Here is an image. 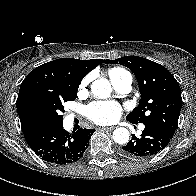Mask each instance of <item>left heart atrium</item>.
<instances>
[{
  "label": "left heart atrium",
  "instance_id": "1",
  "mask_svg": "<svg viewBox=\"0 0 196 196\" xmlns=\"http://www.w3.org/2000/svg\"><path fill=\"white\" fill-rule=\"evenodd\" d=\"M120 114L121 107L115 101H96L85 108L87 118L101 125L113 123Z\"/></svg>",
  "mask_w": 196,
  "mask_h": 196
}]
</instances>
